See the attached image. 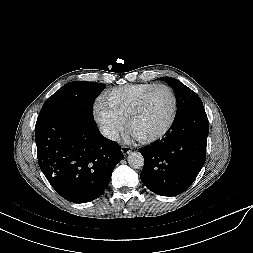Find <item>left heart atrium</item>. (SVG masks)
<instances>
[{
  "instance_id": "1",
  "label": "left heart atrium",
  "mask_w": 253,
  "mask_h": 253,
  "mask_svg": "<svg viewBox=\"0 0 253 253\" xmlns=\"http://www.w3.org/2000/svg\"><path fill=\"white\" fill-rule=\"evenodd\" d=\"M130 138L138 139L139 137L129 130V132L126 135V139H130Z\"/></svg>"
}]
</instances>
